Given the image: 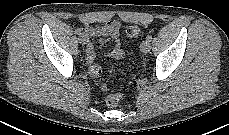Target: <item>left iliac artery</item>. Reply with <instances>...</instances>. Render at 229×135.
<instances>
[{
  "instance_id": "1",
  "label": "left iliac artery",
  "mask_w": 229,
  "mask_h": 135,
  "mask_svg": "<svg viewBox=\"0 0 229 135\" xmlns=\"http://www.w3.org/2000/svg\"><path fill=\"white\" fill-rule=\"evenodd\" d=\"M152 40V36L151 35H148L147 37H146V41H151Z\"/></svg>"
}]
</instances>
